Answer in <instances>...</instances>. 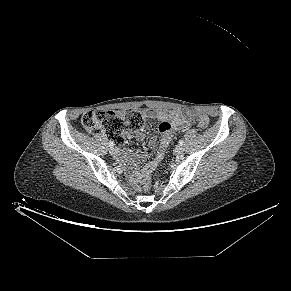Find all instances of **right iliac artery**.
Returning <instances> with one entry per match:
<instances>
[{
	"label": "right iliac artery",
	"mask_w": 291,
	"mask_h": 291,
	"mask_svg": "<svg viewBox=\"0 0 291 291\" xmlns=\"http://www.w3.org/2000/svg\"><path fill=\"white\" fill-rule=\"evenodd\" d=\"M108 145H109V147L112 148V147L114 146V143L110 141V142L108 143Z\"/></svg>",
	"instance_id": "82829eb1"
}]
</instances>
